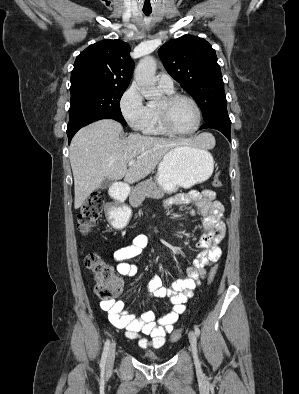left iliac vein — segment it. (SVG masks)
Instances as JSON below:
<instances>
[{"label": "left iliac vein", "instance_id": "left-iliac-vein-1", "mask_svg": "<svg viewBox=\"0 0 299 394\" xmlns=\"http://www.w3.org/2000/svg\"><path fill=\"white\" fill-rule=\"evenodd\" d=\"M189 342H190V346H191V351L193 354V358H194V362L196 364H198L199 360H198V355H197V338H196V334L194 331H190L189 334Z\"/></svg>", "mask_w": 299, "mask_h": 394}]
</instances>
